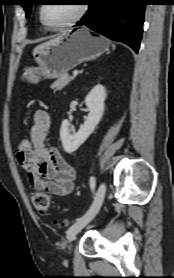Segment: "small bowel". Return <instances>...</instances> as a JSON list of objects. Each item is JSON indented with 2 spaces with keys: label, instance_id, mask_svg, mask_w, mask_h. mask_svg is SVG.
<instances>
[{
  "label": "small bowel",
  "instance_id": "obj_1",
  "mask_svg": "<svg viewBox=\"0 0 174 278\" xmlns=\"http://www.w3.org/2000/svg\"><path fill=\"white\" fill-rule=\"evenodd\" d=\"M50 125L49 113L37 110L33 116L29 136L32 147L26 152L17 151L16 159L35 191L65 196L74 189L76 172L56 148L46 146Z\"/></svg>",
  "mask_w": 174,
  "mask_h": 278
}]
</instances>
